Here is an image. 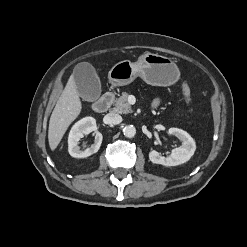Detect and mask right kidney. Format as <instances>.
<instances>
[{
	"label": "right kidney",
	"mask_w": 247,
	"mask_h": 247,
	"mask_svg": "<svg viewBox=\"0 0 247 247\" xmlns=\"http://www.w3.org/2000/svg\"><path fill=\"white\" fill-rule=\"evenodd\" d=\"M95 132L94 143L87 149L81 150L78 146L79 140L91 132ZM102 134L97 131L96 120L93 117H85L72 127L68 137V151L72 157L86 158L96 153L102 143Z\"/></svg>",
	"instance_id": "1"
}]
</instances>
